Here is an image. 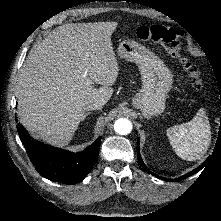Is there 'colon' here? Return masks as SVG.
Masks as SVG:
<instances>
[{
    "mask_svg": "<svg viewBox=\"0 0 221 221\" xmlns=\"http://www.w3.org/2000/svg\"><path fill=\"white\" fill-rule=\"evenodd\" d=\"M137 37L161 45L173 58L178 60L187 73L192 86L201 90L204 86L200 70L182 53L181 33L165 25L154 24L140 26L136 31Z\"/></svg>",
    "mask_w": 221,
    "mask_h": 221,
    "instance_id": "5ec220e1",
    "label": "colon"
}]
</instances>
